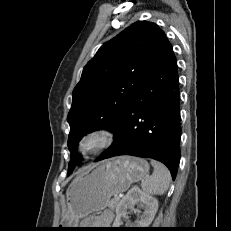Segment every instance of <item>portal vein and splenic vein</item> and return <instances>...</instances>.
<instances>
[{
  "label": "portal vein and splenic vein",
  "instance_id": "portal-vein-and-splenic-vein-1",
  "mask_svg": "<svg viewBox=\"0 0 231 231\" xmlns=\"http://www.w3.org/2000/svg\"><path fill=\"white\" fill-rule=\"evenodd\" d=\"M122 196H123L122 194H117V195H115V198L120 199Z\"/></svg>",
  "mask_w": 231,
  "mask_h": 231
}]
</instances>
